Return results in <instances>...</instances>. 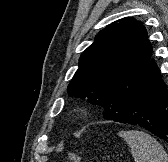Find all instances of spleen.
<instances>
[{
	"label": "spleen",
	"mask_w": 168,
	"mask_h": 162,
	"mask_svg": "<svg viewBox=\"0 0 168 162\" xmlns=\"http://www.w3.org/2000/svg\"><path fill=\"white\" fill-rule=\"evenodd\" d=\"M123 138L131 148L135 162H168L164 148L149 134L138 131H120Z\"/></svg>",
	"instance_id": "spleen-1"
}]
</instances>
